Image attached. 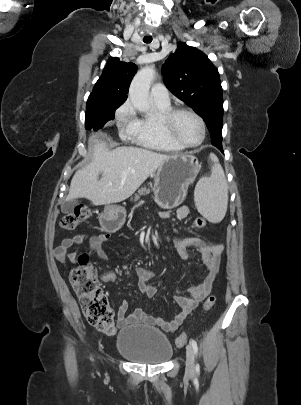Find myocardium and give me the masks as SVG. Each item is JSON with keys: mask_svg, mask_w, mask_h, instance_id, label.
<instances>
[{"mask_svg": "<svg viewBox=\"0 0 301 405\" xmlns=\"http://www.w3.org/2000/svg\"><path fill=\"white\" fill-rule=\"evenodd\" d=\"M183 113H188L192 115L193 117L196 118V120L199 122V125L201 127V138L200 140L195 143V144H187L183 140L179 138L177 133L175 132V122L176 119L179 115ZM159 125L160 129L163 132V134L168 137L170 140L175 142L177 145L182 147L183 149H193L201 146L206 138V125L203 120V118L194 110L190 108H175V109H170L169 111L161 114L159 117Z\"/></svg>", "mask_w": 301, "mask_h": 405, "instance_id": "1", "label": "myocardium"}]
</instances>
